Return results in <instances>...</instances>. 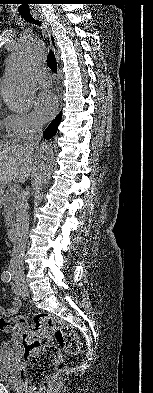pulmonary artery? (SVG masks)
I'll return each mask as SVG.
<instances>
[{
  "mask_svg": "<svg viewBox=\"0 0 153 393\" xmlns=\"http://www.w3.org/2000/svg\"><path fill=\"white\" fill-rule=\"evenodd\" d=\"M37 82L42 87H48L51 84V77L48 73H40L37 75Z\"/></svg>",
  "mask_w": 153,
  "mask_h": 393,
  "instance_id": "e3ab8cb5",
  "label": "pulmonary artery"
}]
</instances>
